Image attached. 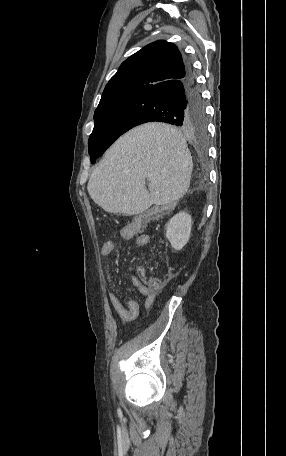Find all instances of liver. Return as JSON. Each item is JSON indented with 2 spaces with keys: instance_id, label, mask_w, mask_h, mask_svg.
I'll return each instance as SVG.
<instances>
[{
  "instance_id": "liver-1",
  "label": "liver",
  "mask_w": 286,
  "mask_h": 456,
  "mask_svg": "<svg viewBox=\"0 0 286 456\" xmlns=\"http://www.w3.org/2000/svg\"><path fill=\"white\" fill-rule=\"evenodd\" d=\"M192 167L186 141L176 127L146 123L108 149L93 170L87 190L105 211L136 215L153 204L167 205L182 198L190 186Z\"/></svg>"
}]
</instances>
